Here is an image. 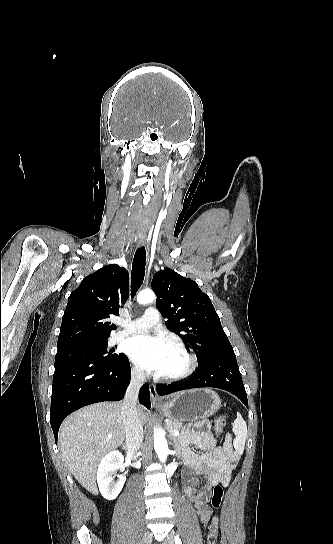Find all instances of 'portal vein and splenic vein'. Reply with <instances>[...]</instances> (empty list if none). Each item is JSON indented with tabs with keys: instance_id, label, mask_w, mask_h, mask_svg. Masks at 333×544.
<instances>
[{
	"instance_id": "obj_1",
	"label": "portal vein and splenic vein",
	"mask_w": 333,
	"mask_h": 544,
	"mask_svg": "<svg viewBox=\"0 0 333 544\" xmlns=\"http://www.w3.org/2000/svg\"><path fill=\"white\" fill-rule=\"evenodd\" d=\"M175 436L179 435V431H174L173 433Z\"/></svg>"
}]
</instances>
